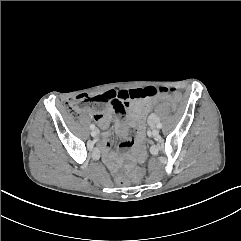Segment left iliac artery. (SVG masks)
Listing matches in <instances>:
<instances>
[{
	"mask_svg": "<svg viewBox=\"0 0 241 241\" xmlns=\"http://www.w3.org/2000/svg\"><path fill=\"white\" fill-rule=\"evenodd\" d=\"M156 126H157V128H162V124L160 123V122H158L157 124H156Z\"/></svg>",
	"mask_w": 241,
	"mask_h": 241,
	"instance_id": "1",
	"label": "left iliac artery"
}]
</instances>
